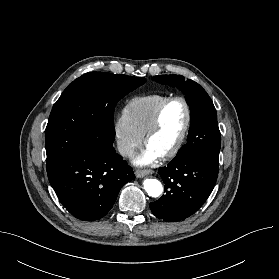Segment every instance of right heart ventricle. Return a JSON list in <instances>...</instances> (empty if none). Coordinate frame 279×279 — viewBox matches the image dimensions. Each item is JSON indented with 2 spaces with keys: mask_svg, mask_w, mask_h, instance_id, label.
Segmentation results:
<instances>
[{
  "mask_svg": "<svg viewBox=\"0 0 279 279\" xmlns=\"http://www.w3.org/2000/svg\"><path fill=\"white\" fill-rule=\"evenodd\" d=\"M170 96L149 94L132 98L124 108V114L132 127L143 136L150 126L158 107Z\"/></svg>",
  "mask_w": 279,
  "mask_h": 279,
  "instance_id": "right-heart-ventricle-1",
  "label": "right heart ventricle"
}]
</instances>
